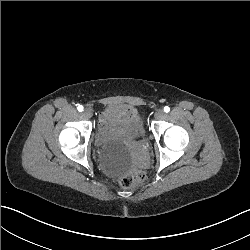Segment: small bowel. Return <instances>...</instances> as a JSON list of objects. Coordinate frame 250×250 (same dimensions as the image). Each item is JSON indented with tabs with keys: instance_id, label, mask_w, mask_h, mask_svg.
Instances as JSON below:
<instances>
[{
	"instance_id": "1",
	"label": "small bowel",
	"mask_w": 250,
	"mask_h": 250,
	"mask_svg": "<svg viewBox=\"0 0 250 250\" xmlns=\"http://www.w3.org/2000/svg\"><path fill=\"white\" fill-rule=\"evenodd\" d=\"M114 111H125V112H133V109L130 107H123V108H115ZM104 129H106V122L105 119L101 120V127H100V131H103Z\"/></svg>"
}]
</instances>
